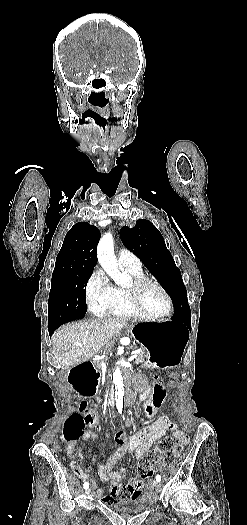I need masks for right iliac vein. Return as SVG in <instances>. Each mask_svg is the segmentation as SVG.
I'll use <instances>...</instances> for the list:
<instances>
[{
    "label": "right iliac vein",
    "mask_w": 247,
    "mask_h": 525,
    "mask_svg": "<svg viewBox=\"0 0 247 525\" xmlns=\"http://www.w3.org/2000/svg\"><path fill=\"white\" fill-rule=\"evenodd\" d=\"M90 492H91V489H90V488H87L86 491H85V493H86L87 495H89Z\"/></svg>",
    "instance_id": "right-iliac-vein-1"
}]
</instances>
